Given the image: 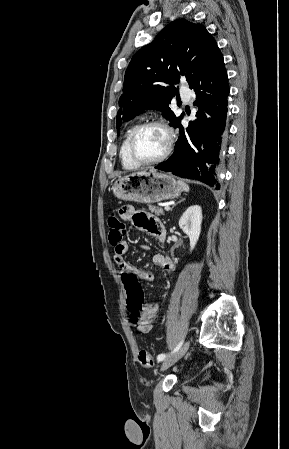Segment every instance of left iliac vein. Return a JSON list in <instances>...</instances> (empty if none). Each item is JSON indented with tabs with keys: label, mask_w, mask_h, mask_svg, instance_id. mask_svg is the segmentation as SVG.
Segmentation results:
<instances>
[{
	"label": "left iliac vein",
	"mask_w": 289,
	"mask_h": 449,
	"mask_svg": "<svg viewBox=\"0 0 289 449\" xmlns=\"http://www.w3.org/2000/svg\"><path fill=\"white\" fill-rule=\"evenodd\" d=\"M189 348V341L184 344V346L177 351L174 355L169 356L168 358L164 359L161 365V371H164L168 369L170 366L175 364L179 359H181L185 353L187 352Z\"/></svg>",
	"instance_id": "1"
}]
</instances>
